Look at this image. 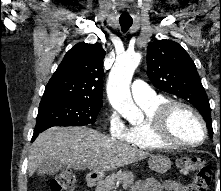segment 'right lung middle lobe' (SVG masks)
I'll list each match as a JSON object with an SVG mask.
<instances>
[{
    "label": "right lung middle lobe",
    "instance_id": "right-lung-middle-lobe-1",
    "mask_svg": "<svg viewBox=\"0 0 221 191\" xmlns=\"http://www.w3.org/2000/svg\"><path fill=\"white\" fill-rule=\"evenodd\" d=\"M101 106L102 102L80 100L40 104L35 128L41 124L51 127L93 124Z\"/></svg>",
    "mask_w": 221,
    "mask_h": 191
}]
</instances>
